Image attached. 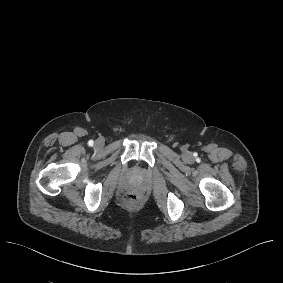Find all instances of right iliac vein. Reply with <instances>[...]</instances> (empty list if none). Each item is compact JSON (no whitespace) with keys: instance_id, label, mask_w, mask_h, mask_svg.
Segmentation results:
<instances>
[{"instance_id":"1","label":"right iliac vein","mask_w":283,"mask_h":283,"mask_svg":"<svg viewBox=\"0 0 283 283\" xmlns=\"http://www.w3.org/2000/svg\"><path fill=\"white\" fill-rule=\"evenodd\" d=\"M103 145H104V141L101 139H97L94 144L95 148L97 149L101 148Z\"/></svg>"}]
</instances>
